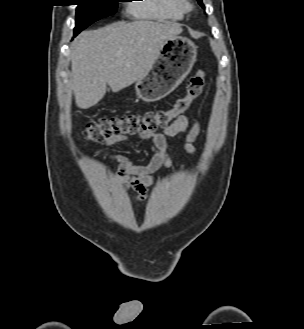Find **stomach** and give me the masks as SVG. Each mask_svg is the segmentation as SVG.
I'll use <instances>...</instances> for the list:
<instances>
[{
  "instance_id": "1",
  "label": "stomach",
  "mask_w": 304,
  "mask_h": 329,
  "mask_svg": "<svg viewBox=\"0 0 304 329\" xmlns=\"http://www.w3.org/2000/svg\"><path fill=\"white\" fill-rule=\"evenodd\" d=\"M196 57L197 46L190 39L174 36L166 40L146 75L136 81V94L145 102L166 97L186 78Z\"/></svg>"
}]
</instances>
